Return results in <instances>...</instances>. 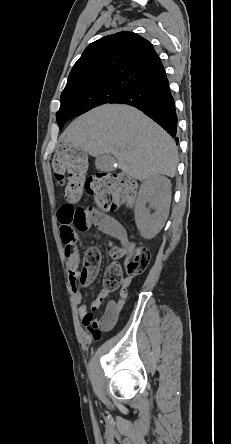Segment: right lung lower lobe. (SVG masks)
Here are the masks:
<instances>
[{"instance_id": "98d812e1", "label": "right lung lower lobe", "mask_w": 231, "mask_h": 444, "mask_svg": "<svg viewBox=\"0 0 231 444\" xmlns=\"http://www.w3.org/2000/svg\"><path fill=\"white\" fill-rule=\"evenodd\" d=\"M115 103L128 104L143 111L178 142L176 108L165 72L136 83Z\"/></svg>"}]
</instances>
